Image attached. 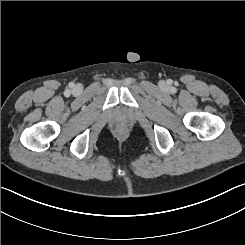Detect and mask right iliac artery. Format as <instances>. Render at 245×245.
I'll use <instances>...</instances> for the list:
<instances>
[{"instance_id": "1", "label": "right iliac artery", "mask_w": 245, "mask_h": 245, "mask_svg": "<svg viewBox=\"0 0 245 245\" xmlns=\"http://www.w3.org/2000/svg\"><path fill=\"white\" fill-rule=\"evenodd\" d=\"M66 94H68V95H69V94H70V92L66 91Z\"/></svg>"}]
</instances>
